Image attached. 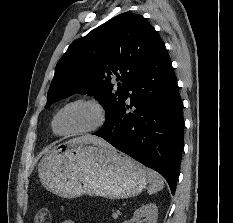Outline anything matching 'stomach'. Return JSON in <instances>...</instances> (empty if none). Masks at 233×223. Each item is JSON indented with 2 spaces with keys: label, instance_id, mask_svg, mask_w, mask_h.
I'll return each mask as SVG.
<instances>
[{
  "label": "stomach",
  "instance_id": "obj_1",
  "mask_svg": "<svg viewBox=\"0 0 233 223\" xmlns=\"http://www.w3.org/2000/svg\"><path fill=\"white\" fill-rule=\"evenodd\" d=\"M38 177L45 189L67 199H125L141 193L148 183L147 167L113 147L90 141L54 145L40 159Z\"/></svg>",
  "mask_w": 233,
  "mask_h": 223
}]
</instances>
